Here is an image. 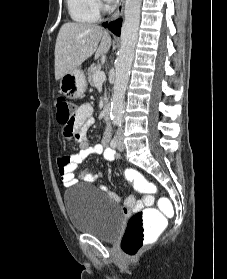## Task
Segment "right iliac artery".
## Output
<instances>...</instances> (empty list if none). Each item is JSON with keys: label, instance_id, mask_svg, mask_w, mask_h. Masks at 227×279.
<instances>
[{"label": "right iliac artery", "instance_id": "1", "mask_svg": "<svg viewBox=\"0 0 227 279\" xmlns=\"http://www.w3.org/2000/svg\"><path fill=\"white\" fill-rule=\"evenodd\" d=\"M111 147L114 149L118 146V140L116 139V137H114L112 140H111V143H110Z\"/></svg>", "mask_w": 227, "mask_h": 279}]
</instances>
